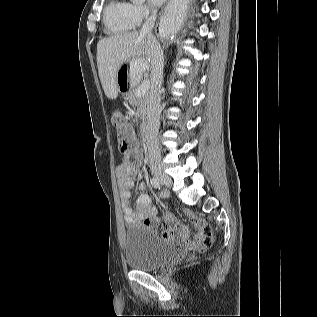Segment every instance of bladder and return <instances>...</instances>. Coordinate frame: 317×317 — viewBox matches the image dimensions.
<instances>
[{
  "mask_svg": "<svg viewBox=\"0 0 317 317\" xmlns=\"http://www.w3.org/2000/svg\"><path fill=\"white\" fill-rule=\"evenodd\" d=\"M179 247L149 233L143 226L130 227L124 236L127 266L134 270L153 271L175 259Z\"/></svg>",
  "mask_w": 317,
  "mask_h": 317,
  "instance_id": "31cf9c89",
  "label": "bladder"
}]
</instances>
